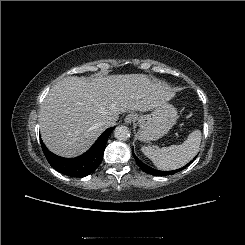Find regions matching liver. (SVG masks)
Masks as SVG:
<instances>
[{"mask_svg":"<svg viewBox=\"0 0 245 245\" xmlns=\"http://www.w3.org/2000/svg\"><path fill=\"white\" fill-rule=\"evenodd\" d=\"M173 97L170 87L144 74L67 77L50 89L42 103L41 137L51 152L75 157L92 146L109 118L117 120L131 110L147 112Z\"/></svg>","mask_w":245,"mask_h":245,"instance_id":"obj_1","label":"liver"}]
</instances>
